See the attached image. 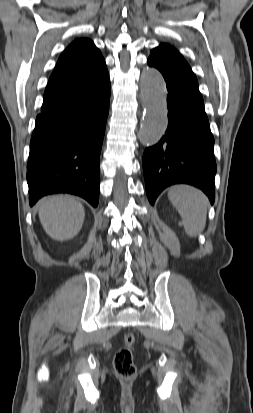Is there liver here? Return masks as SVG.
<instances>
[{"instance_id": "1", "label": "liver", "mask_w": 253, "mask_h": 413, "mask_svg": "<svg viewBox=\"0 0 253 413\" xmlns=\"http://www.w3.org/2000/svg\"><path fill=\"white\" fill-rule=\"evenodd\" d=\"M39 219L54 240L74 238L82 228L85 211L82 204L68 195H55L39 202Z\"/></svg>"}]
</instances>
